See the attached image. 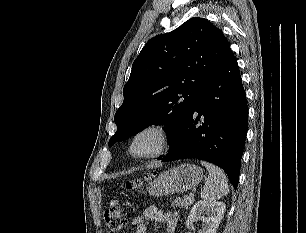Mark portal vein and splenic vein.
Listing matches in <instances>:
<instances>
[{
  "label": "portal vein and splenic vein",
  "instance_id": "portal-vein-and-splenic-vein-1",
  "mask_svg": "<svg viewBox=\"0 0 306 233\" xmlns=\"http://www.w3.org/2000/svg\"><path fill=\"white\" fill-rule=\"evenodd\" d=\"M191 198H194V194L193 193H190L189 195Z\"/></svg>",
  "mask_w": 306,
  "mask_h": 233
}]
</instances>
